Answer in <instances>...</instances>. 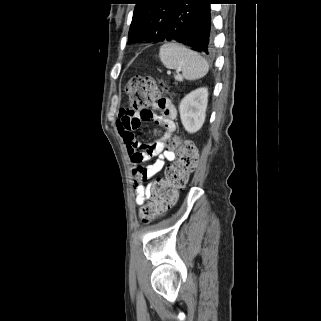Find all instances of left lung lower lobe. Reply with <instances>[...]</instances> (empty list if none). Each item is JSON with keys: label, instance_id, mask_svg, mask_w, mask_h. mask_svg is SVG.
<instances>
[{"label": "left lung lower lobe", "instance_id": "left-lung-lower-lobe-1", "mask_svg": "<svg viewBox=\"0 0 321 321\" xmlns=\"http://www.w3.org/2000/svg\"><path fill=\"white\" fill-rule=\"evenodd\" d=\"M216 0H177L162 41H177L195 51L210 54L213 30L210 4Z\"/></svg>", "mask_w": 321, "mask_h": 321}]
</instances>
